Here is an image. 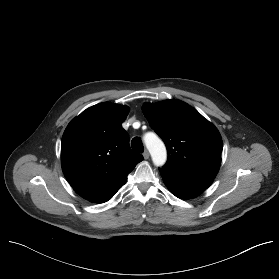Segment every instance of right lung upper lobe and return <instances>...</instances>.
Instances as JSON below:
<instances>
[{"label":"right lung upper lobe","instance_id":"cb5924a9","mask_svg":"<svg viewBox=\"0 0 279 279\" xmlns=\"http://www.w3.org/2000/svg\"><path fill=\"white\" fill-rule=\"evenodd\" d=\"M128 113L126 106L100 103L74 118L63 134V173L73 189L91 202L116 193L143 160L131 150L121 126Z\"/></svg>","mask_w":279,"mask_h":279}]
</instances>
